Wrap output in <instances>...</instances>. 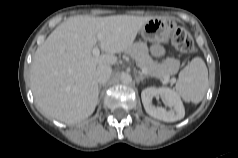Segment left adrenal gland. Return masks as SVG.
<instances>
[{"mask_svg":"<svg viewBox=\"0 0 238 158\" xmlns=\"http://www.w3.org/2000/svg\"><path fill=\"white\" fill-rule=\"evenodd\" d=\"M147 76H144L141 72H139V80L143 82L144 79H146Z\"/></svg>","mask_w":238,"mask_h":158,"instance_id":"a2214340","label":"left adrenal gland"}]
</instances>
